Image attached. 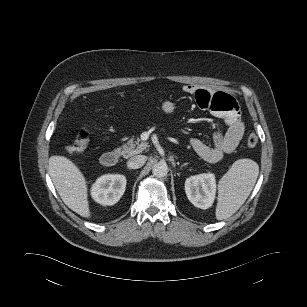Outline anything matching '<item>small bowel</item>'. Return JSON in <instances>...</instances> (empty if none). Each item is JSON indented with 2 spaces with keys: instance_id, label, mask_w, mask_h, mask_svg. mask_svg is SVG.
I'll use <instances>...</instances> for the list:
<instances>
[{
  "instance_id": "small-bowel-1",
  "label": "small bowel",
  "mask_w": 307,
  "mask_h": 307,
  "mask_svg": "<svg viewBox=\"0 0 307 307\" xmlns=\"http://www.w3.org/2000/svg\"><path fill=\"white\" fill-rule=\"evenodd\" d=\"M183 91L193 95L201 108L209 109L227 126L225 132H216L213 135L212 145H207L199 139H191L190 145L193 150L208 162H217L224 154L234 151L245 131L236 100L227 93L203 90L193 84L183 86ZM161 109L166 114H172L176 109L175 102L165 100L162 102Z\"/></svg>"
}]
</instances>
